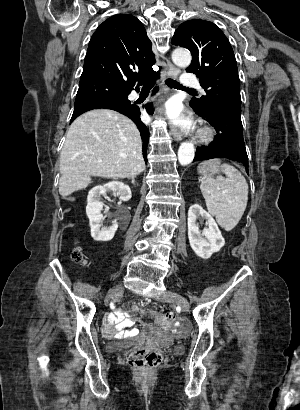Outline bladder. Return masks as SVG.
I'll use <instances>...</instances> for the list:
<instances>
[{
  "label": "bladder",
  "instance_id": "1",
  "mask_svg": "<svg viewBox=\"0 0 300 410\" xmlns=\"http://www.w3.org/2000/svg\"><path fill=\"white\" fill-rule=\"evenodd\" d=\"M129 341H122V342H111L108 344L107 348L109 351H111L112 353H115L119 350H121L124 347V344L127 343Z\"/></svg>",
  "mask_w": 300,
  "mask_h": 410
}]
</instances>
